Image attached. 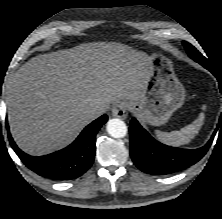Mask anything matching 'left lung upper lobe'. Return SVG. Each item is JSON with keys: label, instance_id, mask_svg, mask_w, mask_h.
Instances as JSON below:
<instances>
[{"label": "left lung upper lobe", "instance_id": "left-lung-upper-lobe-1", "mask_svg": "<svg viewBox=\"0 0 222 219\" xmlns=\"http://www.w3.org/2000/svg\"><path fill=\"white\" fill-rule=\"evenodd\" d=\"M183 45L188 53V55L192 58H196L198 60H204L207 62V59L196 50L194 46H192L190 43L183 41Z\"/></svg>", "mask_w": 222, "mask_h": 219}]
</instances>
